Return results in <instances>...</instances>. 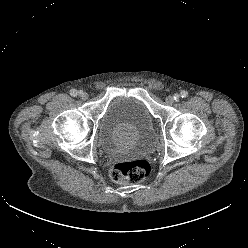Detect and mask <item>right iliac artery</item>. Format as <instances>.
Masks as SVG:
<instances>
[{"label":"right iliac artery","instance_id":"82829eb1","mask_svg":"<svg viewBox=\"0 0 248 248\" xmlns=\"http://www.w3.org/2000/svg\"><path fill=\"white\" fill-rule=\"evenodd\" d=\"M80 93H81V91L78 92V91L75 90V89H72V90L70 91V94H71V96H73V97L77 96V95L80 94Z\"/></svg>","mask_w":248,"mask_h":248}]
</instances>
